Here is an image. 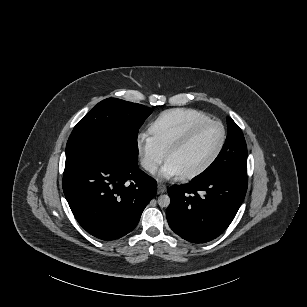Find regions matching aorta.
<instances>
[{"mask_svg":"<svg viewBox=\"0 0 307 307\" xmlns=\"http://www.w3.org/2000/svg\"><path fill=\"white\" fill-rule=\"evenodd\" d=\"M158 204L162 207H167L170 204V197L168 195H160L158 197Z\"/></svg>","mask_w":307,"mask_h":307,"instance_id":"aorta-1","label":"aorta"}]
</instances>
